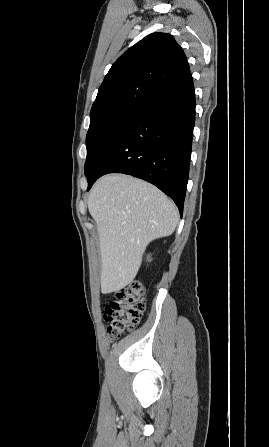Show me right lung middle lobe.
<instances>
[{
    "label": "right lung middle lobe",
    "instance_id": "dd1d6c3e",
    "mask_svg": "<svg viewBox=\"0 0 269 447\" xmlns=\"http://www.w3.org/2000/svg\"><path fill=\"white\" fill-rule=\"evenodd\" d=\"M140 107L122 106L90 119L86 137L87 157L84 166L86 176L95 159L119 132L126 120L134 115Z\"/></svg>",
    "mask_w": 269,
    "mask_h": 447
}]
</instances>
